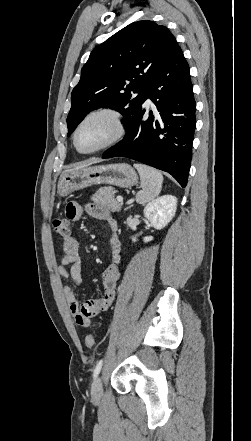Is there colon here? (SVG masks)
<instances>
[{"label":"colon","instance_id":"colon-1","mask_svg":"<svg viewBox=\"0 0 251 441\" xmlns=\"http://www.w3.org/2000/svg\"><path fill=\"white\" fill-rule=\"evenodd\" d=\"M53 229L55 233L64 241H68L71 238V225L70 221L66 218H56L53 221ZM95 344V337L93 334H88L85 337V345L88 348H92Z\"/></svg>","mask_w":251,"mask_h":441}]
</instances>
